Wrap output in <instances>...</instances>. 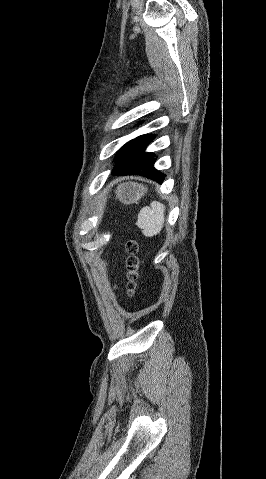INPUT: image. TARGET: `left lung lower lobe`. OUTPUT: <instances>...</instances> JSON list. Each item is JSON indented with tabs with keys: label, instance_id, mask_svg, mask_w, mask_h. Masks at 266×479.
Here are the masks:
<instances>
[{
	"label": "left lung lower lobe",
	"instance_id": "1",
	"mask_svg": "<svg viewBox=\"0 0 266 479\" xmlns=\"http://www.w3.org/2000/svg\"><path fill=\"white\" fill-rule=\"evenodd\" d=\"M155 161H156V158L149 159V160L144 161L138 167H136V166L130 167V168L125 169L123 171L122 170H117V171L112 172V174L113 175H118V176L135 175L136 174V175L147 177V178L161 184L164 180V174L154 168Z\"/></svg>",
	"mask_w": 266,
	"mask_h": 479
}]
</instances>
